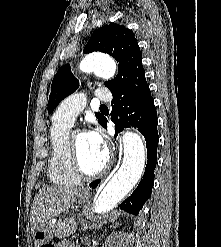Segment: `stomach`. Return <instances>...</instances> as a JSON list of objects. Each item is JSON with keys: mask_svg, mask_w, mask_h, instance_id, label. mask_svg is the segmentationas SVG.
Returning a JSON list of instances; mask_svg holds the SVG:
<instances>
[{"mask_svg": "<svg viewBox=\"0 0 221 247\" xmlns=\"http://www.w3.org/2000/svg\"><path fill=\"white\" fill-rule=\"evenodd\" d=\"M78 201L80 203H86L89 201V196L83 193L78 195ZM53 228L49 222L40 225L34 230L33 239L35 247H43L53 239Z\"/></svg>", "mask_w": 221, "mask_h": 247, "instance_id": "obj_1", "label": "stomach"}]
</instances>
